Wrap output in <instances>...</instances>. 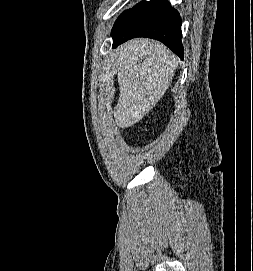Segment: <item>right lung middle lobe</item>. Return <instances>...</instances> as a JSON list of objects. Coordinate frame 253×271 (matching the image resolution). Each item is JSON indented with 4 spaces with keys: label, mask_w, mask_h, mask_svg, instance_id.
I'll use <instances>...</instances> for the list:
<instances>
[{
    "label": "right lung middle lobe",
    "mask_w": 253,
    "mask_h": 271,
    "mask_svg": "<svg viewBox=\"0 0 253 271\" xmlns=\"http://www.w3.org/2000/svg\"><path fill=\"white\" fill-rule=\"evenodd\" d=\"M129 11H130V10H126L125 12H123V13L119 16V18L116 20V22H115V24H114V26H113L112 31L115 30V29L120 25V23L122 22V20L125 18V16L127 15V13H128Z\"/></svg>",
    "instance_id": "obj_1"
}]
</instances>
